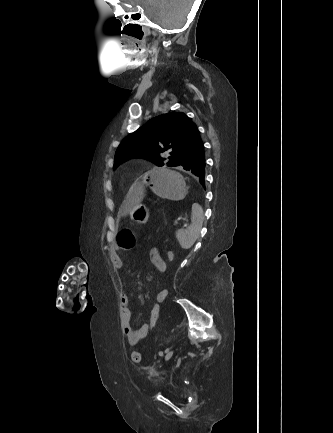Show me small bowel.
Listing matches in <instances>:
<instances>
[{
	"mask_svg": "<svg viewBox=\"0 0 333 433\" xmlns=\"http://www.w3.org/2000/svg\"><path fill=\"white\" fill-rule=\"evenodd\" d=\"M110 259L113 264V266L117 270H121L123 267V262L121 260V257L119 256L118 250L116 246H111L110 248ZM149 259L150 262L162 273L166 272L167 270V263L160 255L159 251L156 248H152L149 251ZM168 295L167 289H162L158 291V293L155 296L156 301H161L162 303L166 300ZM154 304V303H153ZM154 305H152V308ZM120 322H121V328L122 332L127 340V342L134 346L137 345L140 341L145 339L147 335L150 332V322L145 323L141 325L139 328L134 329L131 325V310L129 307V297L127 294L122 293L120 295Z\"/></svg>",
	"mask_w": 333,
	"mask_h": 433,
	"instance_id": "obj_1",
	"label": "small bowel"
}]
</instances>
